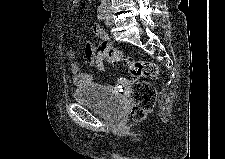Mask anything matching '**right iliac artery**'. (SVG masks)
I'll return each instance as SVG.
<instances>
[{
    "label": "right iliac artery",
    "mask_w": 225,
    "mask_h": 159,
    "mask_svg": "<svg viewBox=\"0 0 225 159\" xmlns=\"http://www.w3.org/2000/svg\"><path fill=\"white\" fill-rule=\"evenodd\" d=\"M106 15V8L105 7H99L97 10V17L99 20L103 21L105 19Z\"/></svg>",
    "instance_id": "1"
}]
</instances>
